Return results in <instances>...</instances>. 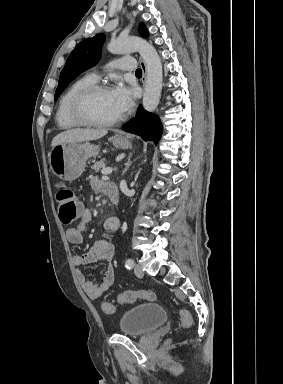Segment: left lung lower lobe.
I'll return each instance as SVG.
<instances>
[{"instance_id": "0a47b994", "label": "left lung lower lobe", "mask_w": 283, "mask_h": 384, "mask_svg": "<svg viewBox=\"0 0 283 384\" xmlns=\"http://www.w3.org/2000/svg\"><path fill=\"white\" fill-rule=\"evenodd\" d=\"M124 130L141 136L144 140L157 143L163 133V127L158 116L139 107L136 117L123 125Z\"/></svg>"}]
</instances>
